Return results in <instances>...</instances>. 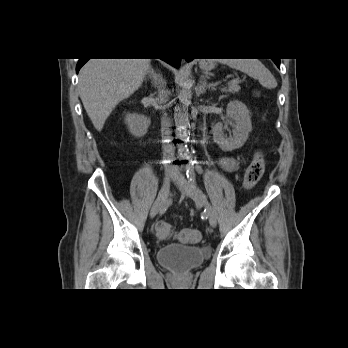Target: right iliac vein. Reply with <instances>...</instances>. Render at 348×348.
Wrapping results in <instances>:
<instances>
[{"label": "right iliac vein", "instance_id": "63e3f726", "mask_svg": "<svg viewBox=\"0 0 348 348\" xmlns=\"http://www.w3.org/2000/svg\"><path fill=\"white\" fill-rule=\"evenodd\" d=\"M170 192V178H166L163 182V185L158 193V196L153 203L151 210H150V217H155L158 212L161 210L164 202L166 201L168 195Z\"/></svg>", "mask_w": 348, "mask_h": 348}]
</instances>
